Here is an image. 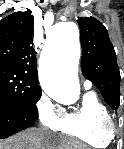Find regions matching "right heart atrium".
<instances>
[{
	"mask_svg": "<svg viewBox=\"0 0 124 149\" xmlns=\"http://www.w3.org/2000/svg\"><path fill=\"white\" fill-rule=\"evenodd\" d=\"M37 116L40 123L51 129L56 130L64 116V111L57 106L47 95L43 94L36 105Z\"/></svg>",
	"mask_w": 124,
	"mask_h": 149,
	"instance_id": "1",
	"label": "right heart atrium"
}]
</instances>
